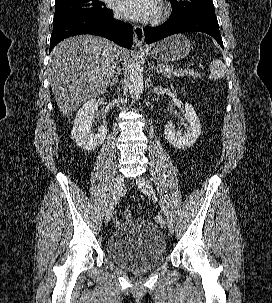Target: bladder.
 I'll return each instance as SVG.
<instances>
[{"label":"bladder","mask_w":272,"mask_h":303,"mask_svg":"<svg viewBox=\"0 0 272 303\" xmlns=\"http://www.w3.org/2000/svg\"><path fill=\"white\" fill-rule=\"evenodd\" d=\"M106 255L119 266L141 272L161 265L167 257V247L162 231L153 222L130 218L109 236Z\"/></svg>","instance_id":"obj_1"}]
</instances>
